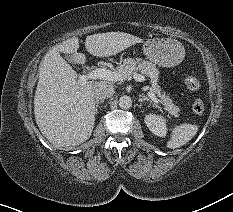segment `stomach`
Here are the masks:
<instances>
[{
  "label": "stomach",
  "mask_w": 233,
  "mask_h": 212,
  "mask_svg": "<svg viewBox=\"0 0 233 212\" xmlns=\"http://www.w3.org/2000/svg\"><path fill=\"white\" fill-rule=\"evenodd\" d=\"M143 51L146 57L163 67H174L185 56L183 45L171 38H153L145 41Z\"/></svg>",
  "instance_id": "stomach-1"
}]
</instances>
